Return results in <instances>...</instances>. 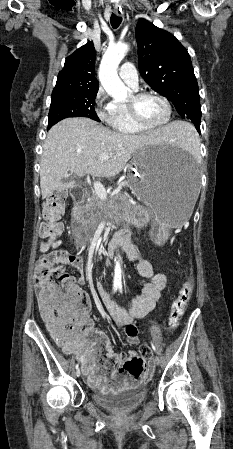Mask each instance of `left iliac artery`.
<instances>
[{
    "label": "left iliac artery",
    "mask_w": 233,
    "mask_h": 449,
    "mask_svg": "<svg viewBox=\"0 0 233 449\" xmlns=\"http://www.w3.org/2000/svg\"><path fill=\"white\" fill-rule=\"evenodd\" d=\"M118 288H119L120 292L122 293V286H119ZM151 345H152L153 350L157 353V349H156V347L154 346V344L151 343Z\"/></svg>",
    "instance_id": "1"
}]
</instances>
